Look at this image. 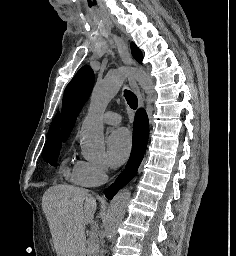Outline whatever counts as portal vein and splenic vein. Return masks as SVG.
I'll list each match as a JSON object with an SVG mask.
<instances>
[{"label":"portal vein and splenic vein","instance_id":"portal-vein-and-splenic-vein-1","mask_svg":"<svg viewBox=\"0 0 236 256\" xmlns=\"http://www.w3.org/2000/svg\"><path fill=\"white\" fill-rule=\"evenodd\" d=\"M93 228H97L96 224H92Z\"/></svg>","mask_w":236,"mask_h":256}]
</instances>
